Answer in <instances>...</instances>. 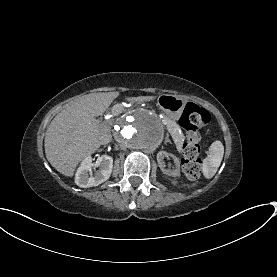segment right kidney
I'll use <instances>...</instances> for the list:
<instances>
[{"instance_id":"ca27d5eb","label":"right kidney","mask_w":277,"mask_h":277,"mask_svg":"<svg viewBox=\"0 0 277 277\" xmlns=\"http://www.w3.org/2000/svg\"><path fill=\"white\" fill-rule=\"evenodd\" d=\"M93 167L99 170L92 172ZM113 169V158L102 155L95 163H92L91 155L86 156L81 162L75 174V184L81 188L98 186L109 179Z\"/></svg>"}]
</instances>
